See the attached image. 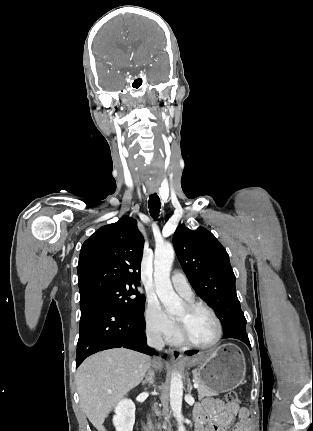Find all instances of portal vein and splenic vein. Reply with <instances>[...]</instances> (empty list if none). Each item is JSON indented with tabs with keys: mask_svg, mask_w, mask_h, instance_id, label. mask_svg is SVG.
<instances>
[{
	"mask_svg": "<svg viewBox=\"0 0 313 431\" xmlns=\"http://www.w3.org/2000/svg\"><path fill=\"white\" fill-rule=\"evenodd\" d=\"M194 388H198L199 387V384L197 383V382H194Z\"/></svg>",
	"mask_w": 313,
	"mask_h": 431,
	"instance_id": "1",
	"label": "portal vein and splenic vein"
}]
</instances>
